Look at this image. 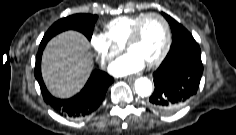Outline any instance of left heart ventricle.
<instances>
[{"mask_svg":"<svg viewBox=\"0 0 236 135\" xmlns=\"http://www.w3.org/2000/svg\"><path fill=\"white\" fill-rule=\"evenodd\" d=\"M164 43L163 23L157 17H149L143 22L137 41L127 51L136 54L147 63L159 56Z\"/></svg>","mask_w":236,"mask_h":135,"instance_id":"1","label":"left heart ventricle"}]
</instances>
